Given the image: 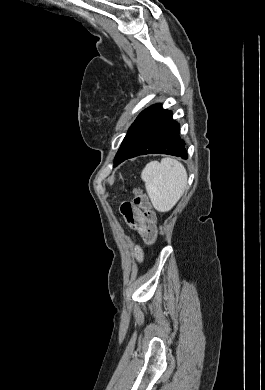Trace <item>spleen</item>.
Segmentation results:
<instances>
[{
	"instance_id": "spleen-1",
	"label": "spleen",
	"mask_w": 265,
	"mask_h": 390,
	"mask_svg": "<svg viewBox=\"0 0 265 390\" xmlns=\"http://www.w3.org/2000/svg\"><path fill=\"white\" fill-rule=\"evenodd\" d=\"M141 178L154 208L159 212L171 210L187 186L185 167L169 157L163 158L161 162H149L142 170Z\"/></svg>"
}]
</instances>
